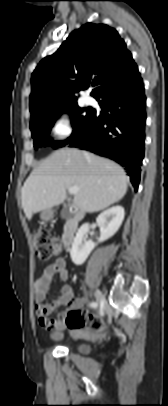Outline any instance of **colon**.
Returning a JSON list of instances; mask_svg holds the SVG:
<instances>
[{"label": "colon", "mask_w": 168, "mask_h": 406, "mask_svg": "<svg viewBox=\"0 0 168 406\" xmlns=\"http://www.w3.org/2000/svg\"><path fill=\"white\" fill-rule=\"evenodd\" d=\"M32 240L36 258L40 261L50 260L59 255L62 250L60 240L47 230L34 232ZM66 323L73 327L84 326L94 332L102 331L104 328L103 321L99 315L81 313L79 311L68 312Z\"/></svg>", "instance_id": "obj_1"}]
</instances>
